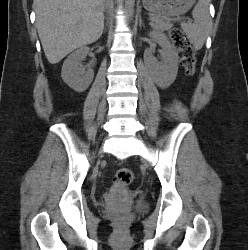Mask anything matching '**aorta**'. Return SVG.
Instances as JSON below:
<instances>
[{"label": "aorta", "mask_w": 248, "mask_h": 250, "mask_svg": "<svg viewBox=\"0 0 248 250\" xmlns=\"http://www.w3.org/2000/svg\"><path fill=\"white\" fill-rule=\"evenodd\" d=\"M135 0H126L125 8L128 16H131L134 12Z\"/></svg>", "instance_id": "aorta-1"}]
</instances>
